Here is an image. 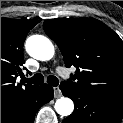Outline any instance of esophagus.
Wrapping results in <instances>:
<instances>
[{
	"label": "esophagus",
	"instance_id": "obj_1",
	"mask_svg": "<svg viewBox=\"0 0 123 123\" xmlns=\"http://www.w3.org/2000/svg\"><path fill=\"white\" fill-rule=\"evenodd\" d=\"M62 96V92L59 87H54V97L59 98Z\"/></svg>",
	"mask_w": 123,
	"mask_h": 123
}]
</instances>
